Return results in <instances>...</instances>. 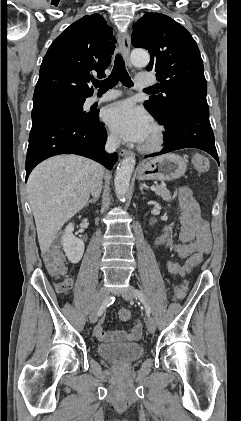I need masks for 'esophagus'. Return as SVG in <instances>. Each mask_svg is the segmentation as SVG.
<instances>
[{
  "mask_svg": "<svg viewBox=\"0 0 241 421\" xmlns=\"http://www.w3.org/2000/svg\"><path fill=\"white\" fill-rule=\"evenodd\" d=\"M118 42H119V47L122 53V56L124 58V61L126 63V66L128 68H131V62H130V58H129V54H130V38L128 33L126 32H118ZM120 155L125 157V156H130L132 155V152L130 150L127 149H121L120 150Z\"/></svg>",
  "mask_w": 241,
  "mask_h": 421,
  "instance_id": "1",
  "label": "esophagus"
}]
</instances>
